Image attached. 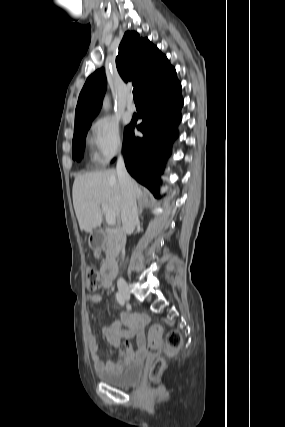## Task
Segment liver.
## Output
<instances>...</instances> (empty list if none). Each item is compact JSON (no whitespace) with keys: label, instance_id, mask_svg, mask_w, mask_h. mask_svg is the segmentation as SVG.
I'll list each match as a JSON object with an SVG mask.
<instances>
[{"label":"liver","instance_id":"6515ba94","mask_svg":"<svg viewBox=\"0 0 285 427\" xmlns=\"http://www.w3.org/2000/svg\"><path fill=\"white\" fill-rule=\"evenodd\" d=\"M135 197L145 196L132 180ZM73 205L81 231L91 232L102 224L101 204L106 203L117 218L122 212V192L117 172L112 169L87 172L75 177L72 189Z\"/></svg>","mask_w":285,"mask_h":427}]
</instances>
